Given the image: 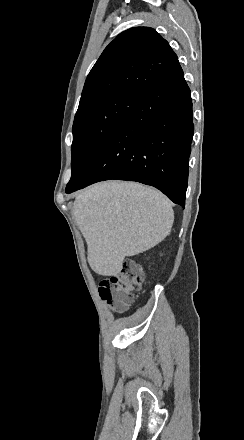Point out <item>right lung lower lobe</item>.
I'll use <instances>...</instances> for the list:
<instances>
[{"label": "right lung lower lobe", "mask_w": 244, "mask_h": 440, "mask_svg": "<svg viewBox=\"0 0 244 440\" xmlns=\"http://www.w3.org/2000/svg\"><path fill=\"white\" fill-rule=\"evenodd\" d=\"M192 120L190 89L180 68L139 99L66 193L103 180L137 181L184 207Z\"/></svg>", "instance_id": "1"}]
</instances>
